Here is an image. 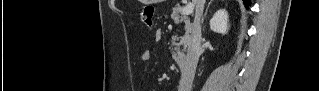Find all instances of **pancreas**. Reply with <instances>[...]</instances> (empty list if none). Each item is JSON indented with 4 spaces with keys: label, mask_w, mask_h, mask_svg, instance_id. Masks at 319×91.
<instances>
[{
    "label": "pancreas",
    "mask_w": 319,
    "mask_h": 91,
    "mask_svg": "<svg viewBox=\"0 0 319 91\" xmlns=\"http://www.w3.org/2000/svg\"><path fill=\"white\" fill-rule=\"evenodd\" d=\"M171 18L174 20L175 24L185 23V34L180 37L181 40L179 41V37L177 36L172 37V58L176 62L181 63L184 58V52L186 51V46L190 38L191 23L187 16L182 15V8L180 6H176L175 8H173Z\"/></svg>",
    "instance_id": "obj_1"
}]
</instances>
